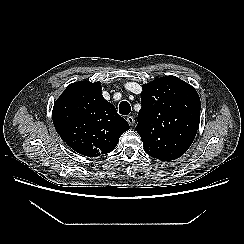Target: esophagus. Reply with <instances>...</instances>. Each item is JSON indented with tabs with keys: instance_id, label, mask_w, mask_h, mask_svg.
<instances>
[{
	"instance_id": "obj_1",
	"label": "esophagus",
	"mask_w": 244,
	"mask_h": 244,
	"mask_svg": "<svg viewBox=\"0 0 244 244\" xmlns=\"http://www.w3.org/2000/svg\"><path fill=\"white\" fill-rule=\"evenodd\" d=\"M126 120H127V122L129 123L130 126H134L135 119H134L133 116H131V115L127 116Z\"/></svg>"
}]
</instances>
